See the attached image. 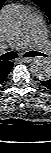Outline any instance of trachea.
I'll list each match as a JSON object with an SVG mask.
<instances>
[{
  "label": "trachea",
  "instance_id": "trachea-1",
  "mask_svg": "<svg viewBox=\"0 0 51 153\" xmlns=\"http://www.w3.org/2000/svg\"><path fill=\"white\" fill-rule=\"evenodd\" d=\"M23 56L24 57H36V56H46V55L43 54V53H40V52L30 51V52L24 53ZM17 57H18V54L14 51H11V52H8V53H5V54L1 55L0 60L9 61V60H13Z\"/></svg>",
  "mask_w": 51,
  "mask_h": 153
}]
</instances>
